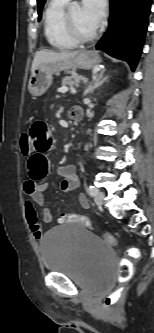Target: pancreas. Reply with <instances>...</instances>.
<instances>
[{
  "label": "pancreas",
  "mask_w": 154,
  "mask_h": 333,
  "mask_svg": "<svg viewBox=\"0 0 154 333\" xmlns=\"http://www.w3.org/2000/svg\"><path fill=\"white\" fill-rule=\"evenodd\" d=\"M83 80H84V77H82L81 75L65 76L62 79V85L70 86V87L74 88V87H78L80 81H83Z\"/></svg>",
  "instance_id": "cf45deb5"
}]
</instances>
